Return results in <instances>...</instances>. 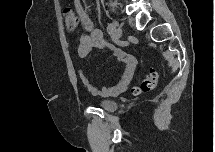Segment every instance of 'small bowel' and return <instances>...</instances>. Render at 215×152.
Masks as SVG:
<instances>
[{
  "mask_svg": "<svg viewBox=\"0 0 215 152\" xmlns=\"http://www.w3.org/2000/svg\"><path fill=\"white\" fill-rule=\"evenodd\" d=\"M75 7L77 9L79 18L82 22L84 29L88 32V34H84L79 38V43L77 47L78 56L80 58H85L93 48L107 49L113 55H115L120 62L125 65L122 78L112 86H105L101 89H98L91 84L89 78L84 74V72L82 70H79L81 83L93 95L109 97L117 96L124 93L136 69V58L132 54H129L110 44L104 38L101 30L93 28V23L89 17V14L80 1H75Z\"/></svg>",
  "mask_w": 215,
  "mask_h": 152,
  "instance_id": "c3829d8e",
  "label": "small bowel"
}]
</instances>
